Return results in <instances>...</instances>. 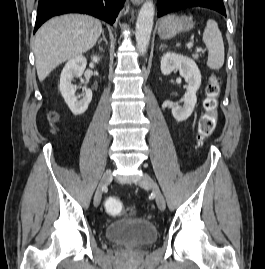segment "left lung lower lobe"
Here are the masks:
<instances>
[{"label":"left lung lower lobe","mask_w":265,"mask_h":269,"mask_svg":"<svg viewBox=\"0 0 265 269\" xmlns=\"http://www.w3.org/2000/svg\"><path fill=\"white\" fill-rule=\"evenodd\" d=\"M190 7H205L226 16L223 0H159L158 17Z\"/></svg>","instance_id":"left-lung-lower-lobe-1"}]
</instances>
